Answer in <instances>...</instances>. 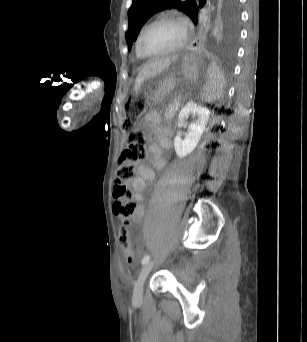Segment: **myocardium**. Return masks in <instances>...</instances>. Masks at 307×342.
<instances>
[{"instance_id": "myocardium-1", "label": "myocardium", "mask_w": 307, "mask_h": 342, "mask_svg": "<svg viewBox=\"0 0 307 342\" xmlns=\"http://www.w3.org/2000/svg\"><path fill=\"white\" fill-rule=\"evenodd\" d=\"M163 21H167V22H171V23L175 24L181 32V38H180L179 42L174 47H172V48H170V49H168V50H166L160 54H157V55H147L142 49L143 38L146 35V33L150 30L151 27H153L155 24H157L159 22H163ZM187 40H188L187 32H186V29H185L183 22L175 16L167 15V14H161V15H158V16L148 20L143 25V27L139 33L138 40H137V52L142 58H144L146 60H157V59H160V58H163L166 56H170L172 54L180 52L186 46Z\"/></svg>"}]
</instances>
